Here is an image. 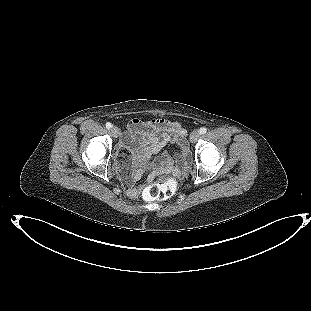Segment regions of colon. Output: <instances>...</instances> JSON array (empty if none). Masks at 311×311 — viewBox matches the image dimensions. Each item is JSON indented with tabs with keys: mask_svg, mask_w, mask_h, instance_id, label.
<instances>
[{
	"mask_svg": "<svg viewBox=\"0 0 311 311\" xmlns=\"http://www.w3.org/2000/svg\"><path fill=\"white\" fill-rule=\"evenodd\" d=\"M120 159V155H119ZM122 174V173H121ZM123 178L126 177L122 174ZM176 185L170 181L153 183L147 186L143 191V197L147 201H158L172 197L176 193Z\"/></svg>",
	"mask_w": 311,
	"mask_h": 311,
	"instance_id": "1",
	"label": "colon"
}]
</instances>
